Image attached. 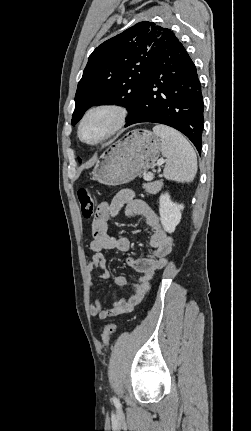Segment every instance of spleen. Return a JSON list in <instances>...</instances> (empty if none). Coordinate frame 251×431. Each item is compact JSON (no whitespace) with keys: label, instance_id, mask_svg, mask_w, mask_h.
Instances as JSON below:
<instances>
[{"label":"spleen","instance_id":"obj_1","mask_svg":"<svg viewBox=\"0 0 251 431\" xmlns=\"http://www.w3.org/2000/svg\"><path fill=\"white\" fill-rule=\"evenodd\" d=\"M161 138V152L167 158L164 177L177 182H191L197 173V157L188 140L175 129L158 124L153 127Z\"/></svg>","mask_w":251,"mask_h":431}]
</instances>
